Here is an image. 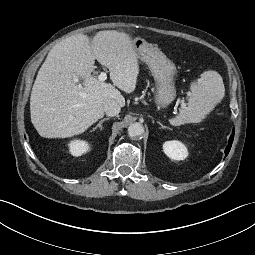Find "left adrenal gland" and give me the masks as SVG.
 <instances>
[{"label":"left adrenal gland","instance_id":"a2214340","mask_svg":"<svg viewBox=\"0 0 255 255\" xmlns=\"http://www.w3.org/2000/svg\"><path fill=\"white\" fill-rule=\"evenodd\" d=\"M157 123L161 126V128H163V129H169V127L164 126L161 122L157 121Z\"/></svg>","mask_w":255,"mask_h":255}]
</instances>
